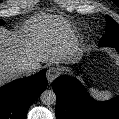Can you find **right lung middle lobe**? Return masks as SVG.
Here are the masks:
<instances>
[{"mask_svg": "<svg viewBox=\"0 0 119 119\" xmlns=\"http://www.w3.org/2000/svg\"><path fill=\"white\" fill-rule=\"evenodd\" d=\"M4 24V21L3 20H0V25Z\"/></svg>", "mask_w": 119, "mask_h": 119, "instance_id": "dd1d6c3e", "label": "right lung middle lobe"}]
</instances>
